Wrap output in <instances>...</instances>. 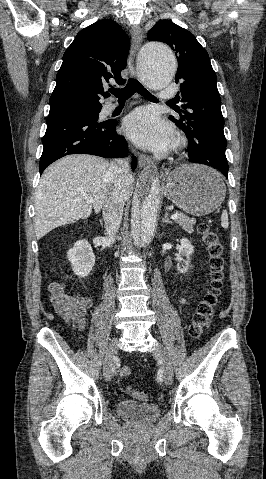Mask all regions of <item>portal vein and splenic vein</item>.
I'll list each match as a JSON object with an SVG mask.
<instances>
[{
    "mask_svg": "<svg viewBox=\"0 0 266 479\" xmlns=\"http://www.w3.org/2000/svg\"><path fill=\"white\" fill-rule=\"evenodd\" d=\"M84 198L86 199L87 203L91 204V203L95 202V200L93 198L89 197V196L84 195ZM177 218H178L177 214H172L171 215V219L176 220Z\"/></svg>",
    "mask_w": 266,
    "mask_h": 479,
    "instance_id": "portal-vein-and-splenic-vein-1",
    "label": "portal vein and splenic vein"
}]
</instances>
